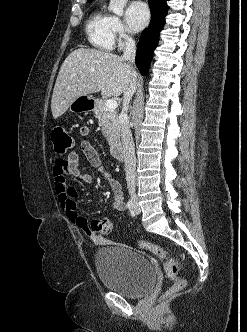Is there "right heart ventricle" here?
I'll return each mask as SVG.
<instances>
[{
	"mask_svg": "<svg viewBox=\"0 0 247 332\" xmlns=\"http://www.w3.org/2000/svg\"><path fill=\"white\" fill-rule=\"evenodd\" d=\"M86 33L93 47L103 51L112 50L115 43L113 16L100 7L95 9L86 23Z\"/></svg>",
	"mask_w": 247,
	"mask_h": 332,
	"instance_id": "1",
	"label": "right heart ventricle"
}]
</instances>
